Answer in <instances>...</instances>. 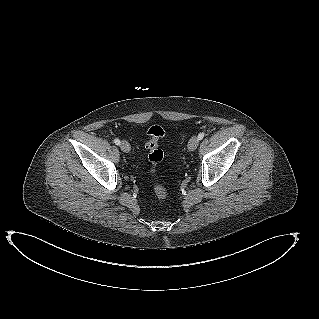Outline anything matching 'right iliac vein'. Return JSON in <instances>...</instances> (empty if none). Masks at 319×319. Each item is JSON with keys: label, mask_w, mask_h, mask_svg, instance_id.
<instances>
[{"label": "right iliac vein", "mask_w": 319, "mask_h": 319, "mask_svg": "<svg viewBox=\"0 0 319 319\" xmlns=\"http://www.w3.org/2000/svg\"><path fill=\"white\" fill-rule=\"evenodd\" d=\"M120 148L125 153H128L131 150L130 144L127 141H122L120 143Z\"/></svg>", "instance_id": "obj_1"}]
</instances>
